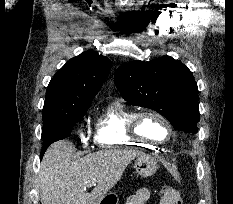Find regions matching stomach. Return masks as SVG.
Instances as JSON below:
<instances>
[{
  "instance_id": "obj_1",
  "label": "stomach",
  "mask_w": 233,
  "mask_h": 204,
  "mask_svg": "<svg viewBox=\"0 0 233 204\" xmlns=\"http://www.w3.org/2000/svg\"><path fill=\"white\" fill-rule=\"evenodd\" d=\"M134 167L138 175L142 177H149L153 175L157 170V161L146 154L139 155L134 163ZM104 201H100L99 204H103Z\"/></svg>"
}]
</instances>
